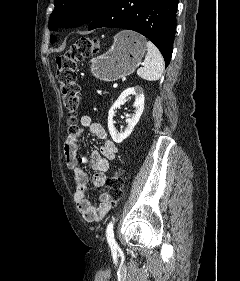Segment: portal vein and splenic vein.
<instances>
[{"label":"portal vein and splenic vein","instance_id":"obj_1","mask_svg":"<svg viewBox=\"0 0 240 281\" xmlns=\"http://www.w3.org/2000/svg\"><path fill=\"white\" fill-rule=\"evenodd\" d=\"M118 84L117 83H114L113 84V88H117Z\"/></svg>","mask_w":240,"mask_h":281}]
</instances>
